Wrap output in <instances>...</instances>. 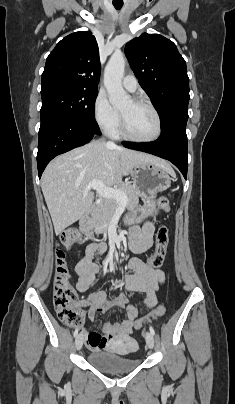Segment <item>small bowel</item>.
I'll return each mask as SVG.
<instances>
[{
  "instance_id": "c3829d8e",
  "label": "small bowel",
  "mask_w": 235,
  "mask_h": 404,
  "mask_svg": "<svg viewBox=\"0 0 235 404\" xmlns=\"http://www.w3.org/2000/svg\"><path fill=\"white\" fill-rule=\"evenodd\" d=\"M154 227L150 221L142 226H134L129 233V244L135 253L147 251L153 243ZM103 242L90 243L83 256H81L75 266L77 276V290L87 292L90 285L100 274V268L92 262L94 256L105 250ZM129 269L133 272L124 277V287L127 291L144 293V310L152 309L156 303V292L160 290L165 282V274L160 269H153L147 266L138 258H132L128 262ZM85 311L89 319H93L97 312L105 313L112 307L122 308L126 311L127 318L120 323H106L103 325V331L106 336L98 332H88L82 329L85 334V344L89 350L115 347L112 344H128L129 334L132 331L134 321L139 316L140 310L128 304L127 296L122 293L116 299L109 300L104 290L96 291L88 297L87 300L78 303ZM102 338H107L108 342L102 344Z\"/></svg>"
}]
</instances>
